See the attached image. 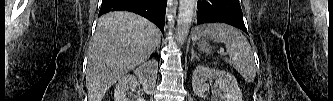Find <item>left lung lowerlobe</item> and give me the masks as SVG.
Wrapping results in <instances>:
<instances>
[{
    "instance_id": "obj_1",
    "label": "left lung lower lobe",
    "mask_w": 333,
    "mask_h": 101,
    "mask_svg": "<svg viewBox=\"0 0 333 101\" xmlns=\"http://www.w3.org/2000/svg\"><path fill=\"white\" fill-rule=\"evenodd\" d=\"M222 22L247 33L239 0H199L196 25Z\"/></svg>"
}]
</instances>
